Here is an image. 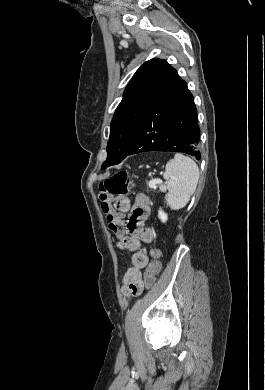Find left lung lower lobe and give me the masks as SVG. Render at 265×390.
I'll return each mask as SVG.
<instances>
[{"mask_svg":"<svg viewBox=\"0 0 265 390\" xmlns=\"http://www.w3.org/2000/svg\"><path fill=\"white\" fill-rule=\"evenodd\" d=\"M194 98L174 69L144 110L125 157L147 151L180 152L201 158Z\"/></svg>","mask_w":265,"mask_h":390,"instance_id":"0a47b994","label":"left lung lower lobe"}]
</instances>
